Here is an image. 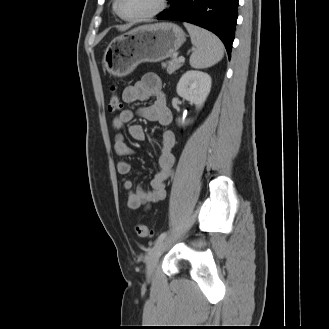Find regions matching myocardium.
I'll return each mask as SVG.
<instances>
[{
	"label": "myocardium",
	"mask_w": 329,
	"mask_h": 329,
	"mask_svg": "<svg viewBox=\"0 0 329 329\" xmlns=\"http://www.w3.org/2000/svg\"><path fill=\"white\" fill-rule=\"evenodd\" d=\"M119 2L120 0H115L114 2V11L115 13L118 15L119 18L125 20V21H129V22H139V21H143V20H147L150 18H153L157 15H159L160 13H162L165 8L167 7V0H159V4L158 6L151 12L144 14V15H140V16H135V17H126L123 16L119 10Z\"/></svg>",
	"instance_id": "obj_1"
}]
</instances>
